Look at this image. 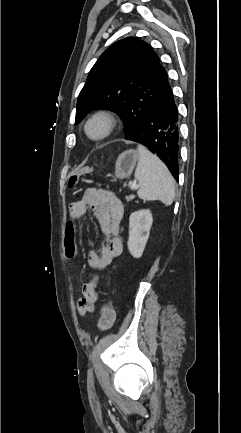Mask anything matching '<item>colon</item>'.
<instances>
[{"label":"colon","instance_id":"obj_1","mask_svg":"<svg viewBox=\"0 0 241 433\" xmlns=\"http://www.w3.org/2000/svg\"><path fill=\"white\" fill-rule=\"evenodd\" d=\"M89 173L90 172L88 168H72L69 176L65 178L64 181L65 185L77 186L79 182L78 181L79 177H88ZM75 224H76V219L74 217H69L67 219V228L64 231V236H65L66 255L68 258L74 257L75 252H73V250L76 249L77 238L79 236V231L76 228V226H74ZM91 282L93 285L96 284L95 280H92ZM114 320H115V310L111 300L107 299L102 308L101 317L98 323L99 330L107 331L112 327Z\"/></svg>","mask_w":241,"mask_h":433}]
</instances>
